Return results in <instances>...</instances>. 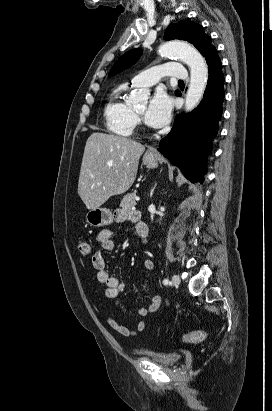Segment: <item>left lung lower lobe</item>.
<instances>
[{
	"label": "left lung lower lobe",
	"mask_w": 272,
	"mask_h": 411,
	"mask_svg": "<svg viewBox=\"0 0 272 411\" xmlns=\"http://www.w3.org/2000/svg\"><path fill=\"white\" fill-rule=\"evenodd\" d=\"M205 59L209 78L200 105L191 113L175 118L172 130L160 141L158 149L193 182H203L206 157L218 131L224 100V75L216 48Z\"/></svg>",
	"instance_id": "0a47b994"
}]
</instances>
